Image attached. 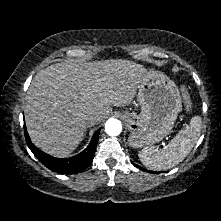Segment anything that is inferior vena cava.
<instances>
[{
	"label": "inferior vena cava",
	"instance_id": "obj_1",
	"mask_svg": "<svg viewBox=\"0 0 221 221\" xmlns=\"http://www.w3.org/2000/svg\"><path fill=\"white\" fill-rule=\"evenodd\" d=\"M85 122L88 127H91L96 124L97 117L95 115H89L86 117Z\"/></svg>",
	"mask_w": 221,
	"mask_h": 221
}]
</instances>
